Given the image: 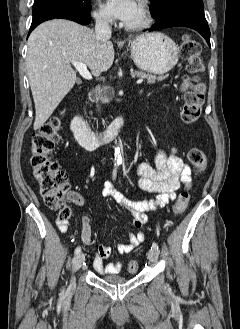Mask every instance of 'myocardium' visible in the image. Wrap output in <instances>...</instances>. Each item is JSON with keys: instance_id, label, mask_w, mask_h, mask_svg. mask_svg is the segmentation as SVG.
<instances>
[{"instance_id": "1", "label": "myocardium", "mask_w": 240, "mask_h": 329, "mask_svg": "<svg viewBox=\"0 0 240 329\" xmlns=\"http://www.w3.org/2000/svg\"><path fill=\"white\" fill-rule=\"evenodd\" d=\"M139 7L141 10V19L139 22L134 23V24H123V27L126 30L130 31H138L142 30L144 28H147L151 22H152V16H151V11L148 5L147 0H140L139 1Z\"/></svg>"}]
</instances>
